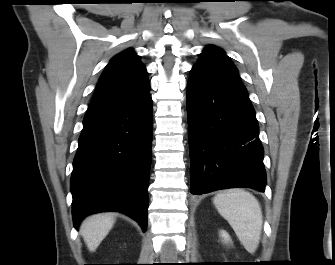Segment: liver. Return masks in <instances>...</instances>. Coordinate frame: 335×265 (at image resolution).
I'll use <instances>...</instances> for the list:
<instances>
[{
  "mask_svg": "<svg viewBox=\"0 0 335 265\" xmlns=\"http://www.w3.org/2000/svg\"><path fill=\"white\" fill-rule=\"evenodd\" d=\"M114 223L115 218L112 213L96 214L83 221L80 233L90 252H94L98 248Z\"/></svg>",
  "mask_w": 335,
  "mask_h": 265,
  "instance_id": "6515ba94",
  "label": "liver"
}]
</instances>
